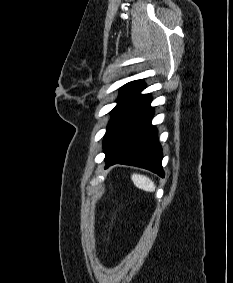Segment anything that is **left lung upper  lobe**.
Instances as JSON below:
<instances>
[{
    "label": "left lung upper lobe",
    "mask_w": 233,
    "mask_h": 283,
    "mask_svg": "<svg viewBox=\"0 0 233 283\" xmlns=\"http://www.w3.org/2000/svg\"><path fill=\"white\" fill-rule=\"evenodd\" d=\"M144 88L145 84L141 80L129 82L121 87L120 95L117 99V105L111 111L112 119L108 124L104 142L111 135L124 115L134 106V104L140 98V92Z\"/></svg>",
    "instance_id": "1"
}]
</instances>
